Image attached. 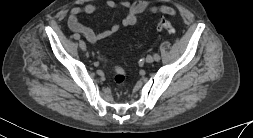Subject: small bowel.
Listing matches in <instances>:
<instances>
[{"mask_svg":"<svg viewBox=\"0 0 253 138\" xmlns=\"http://www.w3.org/2000/svg\"><path fill=\"white\" fill-rule=\"evenodd\" d=\"M106 6L109 8H123L127 10L126 16L123 18L121 25L124 27H131L135 25L141 14L146 11L152 13H161L164 15L175 16L177 14L173 7L167 5H160L148 0H137L135 2L107 0ZM102 10V7L93 4H87L71 9L68 19L69 28L76 33L82 34L90 43H97L105 38L116 34L121 25L114 24L110 28L101 32H96L88 26H85L80 21V15L93 14Z\"/></svg>","mask_w":253,"mask_h":138,"instance_id":"obj_1","label":"small bowel"}]
</instances>
